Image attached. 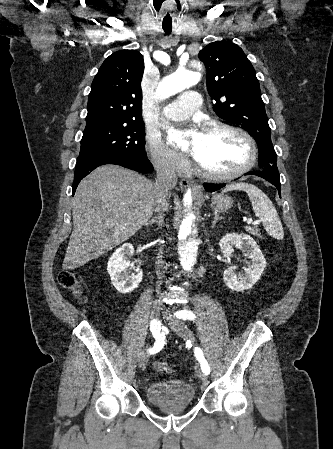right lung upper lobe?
I'll return each mask as SVG.
<instances>
[{
    "mask_svg": "<svg viewBox=\"0 0 333 449\" xmlns=\"http://www.w3.org/2000/svg\"><path fill=\"white\" fill-rule=\"evenodd\" d=\"M143 56L136 50L110 55L96 74L88 97L86 127L142 121Z\"/></svg>",
    "mask_w": 333,
    "mask_h": 449,
    "instance_id": "1",
    "label": "right lung upper lobe"
}]
</instances>
